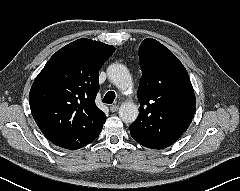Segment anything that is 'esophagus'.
<instances>
[{
  "label": "esophagus",
  "instance_id": "1",
  "mask_svg": "<svg viewBox=\"0 0 240 191\" xmlns=\"http://www.w3.org/2000/svg\"><path fill=\"white\" fill-rule=\"evenodd\" d=\"M118 109H119V106H118V105H111V106H110L111 112H116Z\"/></svg>",
  "mask_w": 240,
  "mask_h": 191
}]
</instances>
